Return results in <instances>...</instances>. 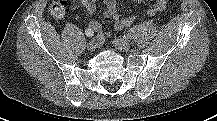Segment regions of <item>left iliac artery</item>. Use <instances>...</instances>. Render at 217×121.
<instances>
[{
    "mask_svg": "<svg viewBox=\"0 0 217 121\" xmlns=\"http://www.w3.org/2000/svg\"><path fill=\"white\" fill-rule=\"evenodd\" d=\"M140 28L141 26L139 25L133 26L131 29H129V31L126 34H124L123 37L125 39H131Z\"/></svg>",
    "mask_w": 217,
    "mask_h": 121,
    "instance_id": "left-iliac-artery-1",
    "label": "left iliac artery"
}]
</instances>
